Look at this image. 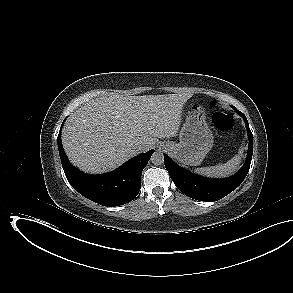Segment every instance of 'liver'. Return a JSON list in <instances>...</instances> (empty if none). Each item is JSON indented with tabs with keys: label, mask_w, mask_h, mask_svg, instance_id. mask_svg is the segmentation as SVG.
Listing matches in <instances>:
<instances>
[{
	"label": "liver",
	"mask_w": 293,
	"mask_h": 293,
	"mask_svg": "<svg viewBox=\"0 0 293 293\" xmlns=\"http://www.w3.org/2000/svg\"><path fill=\"white\" fill-rule=\"evenodd\" d=\"M191 93L168 95H104L76 109L62 129L69 161L99 174L116 169L158 138L177 135L182 109ZM138 145L148 147L140 151Z\"/></svg>",
	"instance_id": "1"
}]
</instances>
